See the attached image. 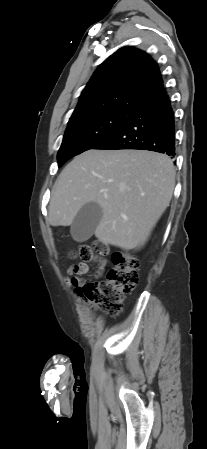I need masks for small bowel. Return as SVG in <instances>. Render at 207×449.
Segmentation results:
<instances>
[{"label":"small bowel","mask_w":207,"mask_h":449,"mask_svg":"<svg viewBox=\"0 0 207 449\" xmlns=\"http://www.w3.org/2000/svg\"><path fill=\"white\" fill-rule=\"evenodd\" d=\"M88 272V265L85 262H79L73 264L68 269V277L66 278V283L68 285H78L81 281V276Z\"/></svg>","instance_id":"small-bowel-1"}]
</instances>
